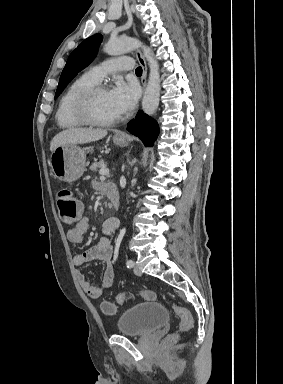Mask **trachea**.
<instances>
[{
    "mask_svg": "<svg viewBox=\"0 0 283 384\" xmlns=\"http://www.w3.org/2000/svg\"><path fill=\"white\" fill-rule=\"evenodd\" d=\"M135 73L136 75H142V67H137Z\"/></svg>",
    "mask_w": 283,
    "mask_h": 384,
    "instance_id": "3493384b",
    "label": "trachea"
}]
</instances>
